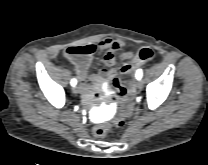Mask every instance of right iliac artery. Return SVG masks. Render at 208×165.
I'll return each instance as SVG.
<instances>
[{"label": "right iliac artery", "instance_id": "obj_1", "mask_svg": "<svg viewBox=\"0 0 208 165\" xmlns=\"http://www.w3.org/2000/svg\"><path fill=\"white\" fill-rule=\"evenodd\" d=\"M76 83H77V81H76V79H75V78L71 80V85H72V86H75V85H76Z\"/></svg>", "mask_w": 208, "mask_h": 165}]
</instances>
